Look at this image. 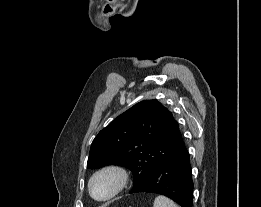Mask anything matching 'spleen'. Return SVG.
<instances>
[{"instance_id":"obj_1","label":"spleen","mask_w":261,"mask_h":207,"mask_svg":"<svg viewBox=\"0 0 261 207\" xmlns=\"http://www.w3.org/2000/svg\"><path fill=\"white\" fill-rule=\"evenodd\" d=\"M153 207H178L172 200L165 196H157Z\"/></svg>"}]
</instances>
